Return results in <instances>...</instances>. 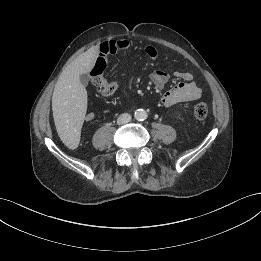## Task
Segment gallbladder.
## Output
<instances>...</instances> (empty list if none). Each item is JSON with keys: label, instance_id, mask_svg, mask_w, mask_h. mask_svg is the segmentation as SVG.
I'll use <instances>...</instances> for the list:
<instances>
[{"label": "gallbladder", "instance_id": "gallbladder-1", "mask_svg": "<svg viewBox=\"0 0 261 261\" xmlns=\"http://www.w3.org/2000/svg\"><path fill=\"white\" fill-rule=\"evenodd\" d=\"M88 80H89L88 74H81V75H80V82H81L83 85H86V84L88 83Z\"/></svg>", "mask_w": 261, "mask_h": 261}]
</instances>
